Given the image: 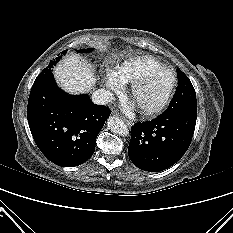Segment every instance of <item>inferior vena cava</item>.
<instances>
[{
    "mask_svg": "<svg viewBox=\"0 0 233 233\" xmlns=\"http://www.w3.org/2000/svg\"><path fill=\"white\" fill-rule=\"evenodd\" d=\"M113 100V94L105 89H98L92 94V101L95 104L105 105Z\"/></svg>",
    "mask_w": 233,
    "mask_h": 233,
    "instance_id": "obj_1",
    "label": "inferior vena cava"
}]
</instances>
